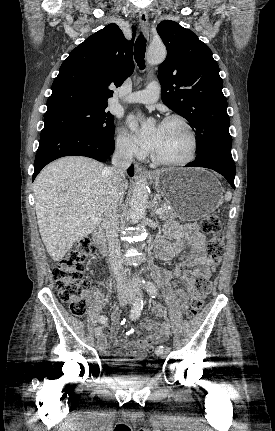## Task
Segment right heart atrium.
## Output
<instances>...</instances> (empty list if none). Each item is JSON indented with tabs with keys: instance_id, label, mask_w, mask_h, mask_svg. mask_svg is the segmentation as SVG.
<instances>
[{
	"instance_id": "1",
	"label": "right heart atrium",
	"mask_w": 275,
	"mask_h": 431,
	"mask_svg": "<svg viewBox=\"0 0 275 431\" xmlns=\"http://www.w3.org/2000/svg\"><path fill=\"white\" fill-rule=\"evenodd\" d=\"M115 143L118 152L123 156L132 157L141 154L131 136L123 128L118 129Z\"/></svg>"
}]
</instances>
